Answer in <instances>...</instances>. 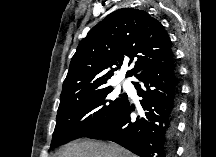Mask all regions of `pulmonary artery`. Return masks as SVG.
<instances>
[{
	"instance_id": "e3ab8cb5",
	"label": "pulmonary artery",
	"mask_w": 216,
	"mask_h": 157,
	"mask_svg": "<svg viewBox=\"0 0 216 157\" xmlns=\"http://www.w3.org/2000/svg\"><path fill=\"white\" fill-rule=\"evenodd\" d=\"M124 86H127V83H126V82L124 83Z\"/></svg>"
}]
</instances>
